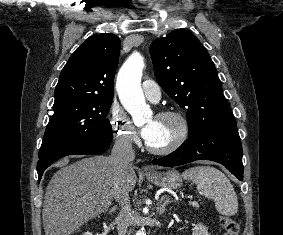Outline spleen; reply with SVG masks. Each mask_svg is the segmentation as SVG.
<instances>
[{"instance_id":"1","label":"spleen","mask_w":283,"mask_h":235,"mask_svg":"<svg viewBox=\"0 0 283 235\" xmlns=\"http://www.w3.org/2000/svg\"><path fill=\"white\" fill-rule=\"evenodd\" d=\"M182 176L196 184L200 195L213 199L217 211L234 216L238 211V199L230 180L212 166H196L185 170Z\"/></svg>"}]
</instances>
